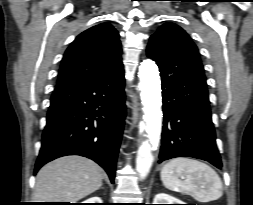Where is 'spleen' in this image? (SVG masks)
<instances>
[{
  "label": "spleen",
  "mask_w": 253,
  "mask_h": 205,
  "mask_svg": "<svg viewBox=\"0 0 253 205\" xmlns=\"http://www.w3.org/2000/svg\"><path fill=\"white\" fill-rule=\"evenodd\" d=\"M160 176L166 188L189 194L198 202L217 200L223 194L217 172L199 160L174 158L163 166Z\"/></svg>",
  "instance_id": "spleen-1"
}]
</instances>
